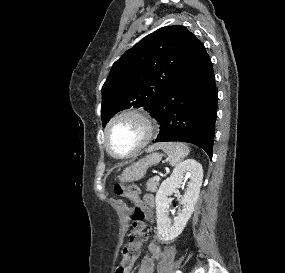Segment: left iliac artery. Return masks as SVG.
I'll return each mask as SVG.
<instances>
[{
    "mask_svg": "<svg viewBox=\"0 0 285 273\" xmlns=\"http://www.w3.org/2000/svg\"><path fill=\"white\" fill-rule=\"evenodd\" d=\"M176 273H182L181 271H177Z\"/></svg>",
    "mask_w": 285,
    "mask_h": 273,
    "instance_id": "1",
    "label": "left iliac artery"
}]
</instances>
